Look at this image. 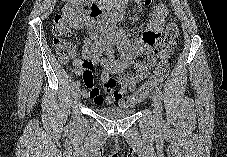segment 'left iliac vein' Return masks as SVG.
<instances>
[{
    "instance_id": "4c4485c4",
    "label": "left iliac vein",
    "mask_w": 227,
    "mask_h": 157,
    "mask_svg": "<svg viewBox=\"0 0 227 157\" xmlns=\"http://www.w3.org/2000/svg\"><path fill=\"white\" fill-rule=\"evenodd\" d=\"M153 101V113L156 121L161 120V102L159 97L155 94L152 96Z\"/></svg>"
}]
</instances>
